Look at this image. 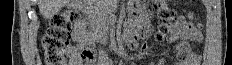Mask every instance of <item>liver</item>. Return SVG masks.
<instances>
[{"mask_svg": "<svg viewBox=\"0 0 232 65\" xmlns=\"http://www.w3.org/2000/svg\"><path fill=\"white\" fill-rule=\"evenodd\" d=\"M68 0H38L40 14L44 18H52L66 5Z\"/></svg>", "mask_w": 232, "mask_h": 65, "instance_id": "liver-1", "label": "liver"}]
</instances>
